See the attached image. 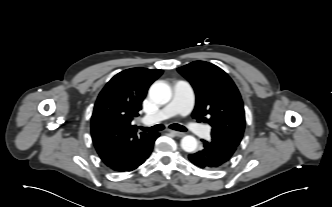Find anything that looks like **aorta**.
<instances>
[{
	"label": "aorta",
	"mask_w": 332,
	"mask_h": 207,
	"mask_svg": "<svg viewBox=\"0 0 332 207\" xmlns=\"http://www.w3.org/2000/svg\"><path fill=\"white\" fill-rule=\"evenodd\" d=\"M172 96L170 87L162 82L157 81L152 84L149 89V97L152 101L157 104H166L170 101ZM197 140L195 137L187 135L184 136L181 140V148L186 152H194L197 148Z\"/></svg>",
	"instance_id": "obj_1"
}]
</instances>
